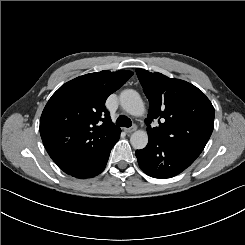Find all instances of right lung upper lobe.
<instances>
[{
  "label": "right lung upper lobe",
  "mask_w": 245,
  "mask_h": 245,
  "mask_svg": "<svg viewBox=\"0 0 245 245\" xmlns=\"http://www.w3.org/2000/svg\"><path fill=\"white\" fill-rule=\"evenodd\" d=\"M132 75L128 70L90 73L65 83L52 95L41 115L40 135L62 170L107 148L120 135L105 101Z\"/></svg>",
  "instance_id": "right-lung-upper-lobe-1"
}]
</instances>
